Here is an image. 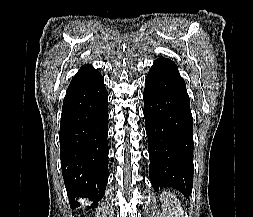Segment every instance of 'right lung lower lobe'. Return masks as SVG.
<instances>
[{
    "label": "right lung lower lobe",
    "instance_id": "1",
    "mask_svg": "<svg viewBox=\"0 0 253 217\" xmlns=\"http://www.w3.org/2000/svg\"><path fill=\"white\" fill-rule=\"evenodd\" d=\"M107 100L103 77L91 65H84L63 101L60 158L65 186L70 200L88 197L91 207L103 198L108 181Z\"/></svg>",
    "mask_w": 253,
    "mask_h": 217
}]
</instances>
